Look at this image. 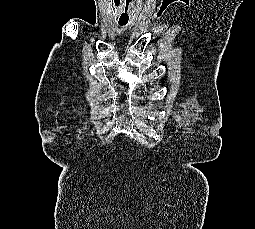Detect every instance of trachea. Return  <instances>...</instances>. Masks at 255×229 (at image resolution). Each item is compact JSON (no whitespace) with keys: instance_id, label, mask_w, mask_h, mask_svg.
I'll list each match as a JSON object with an SVG mask.
<instances>
[{"instance_id":"trachea-1","label":"trachea","mask_w":255,"mask_h":229,"mask_svg":"<svg viewBox=\"0 0 255 229\" xmlns=\"http://www.w3.org/2000/svg\"><path fill=\"white\" fill-rule=\"evenodd\" d=\"M121 26L126 25L125 23H120Z\"/></svg>"}]
</instances>
